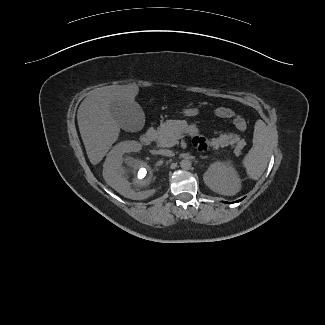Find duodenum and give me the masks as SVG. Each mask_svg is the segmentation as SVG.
I'll return each mask as SVG.
<instances>
[{
    "mask_svg": "<svg viewBox=\"0 0 325 325\" xmlns=\"http://www.w3.org/2000/svg\"><path fill=\"white\" fill-rule=\"evenodd\" d=\"M155 137V130H149L140 136V141L143 145H149L155 139Z\"/></svg>",
    "mask_w": 325,
    "mask_h": 325,
    "instance_id": "duodenum-1",
    "label": "duodenum"
}]
</instances>
